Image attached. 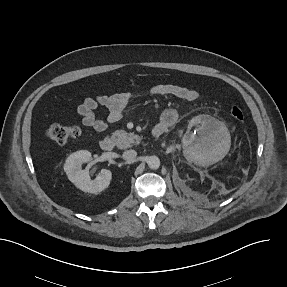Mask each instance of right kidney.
Masks as SVG:
<instances>
[{
  "instance_id": "ca27d5eb",
  "label": "right kidney",
  "mask_w": 287,
  "mask_h": 287,
  "mask_svg": "<svg viewBox=\"0 0 287 287\" xmlns=\"http://www.w3.org/2000/svg\"><path fill=\"white\" fill-rule=\"evenodd\" d=\"M92 155L89 151L81 150L72 153L64 164V170L68 179L80 190L87 193L97 194L106 189L111 181L110 170L102 169L94 180L90 178L89 172L82 170V164L90 162Z\"/></svg>"
}]
</instances>
